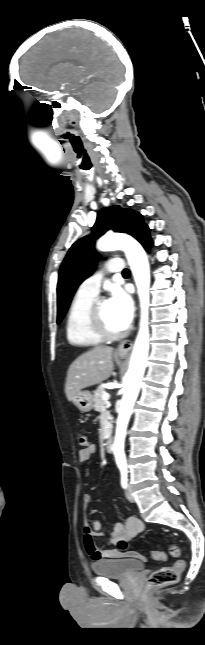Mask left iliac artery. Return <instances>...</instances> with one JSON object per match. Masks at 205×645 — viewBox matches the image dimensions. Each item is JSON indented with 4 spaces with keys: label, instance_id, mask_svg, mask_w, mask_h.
Here are the masks:
<instances>
[{
    "label": "left iliac artery",
    "instance_id": "left-iliac-artery-1",
    "mask_svg": "<svg viewBox=\"0 0 205 645\" xmlns=\"http://www.w3.org/2000/svg\"><path fill=\"white\" fill-rule=\"evenodd\" d=\"M120 471H121V485L123 488L127 487V466L125 464H122L119 466Z\"/></svg>",
    "mask_w": 205,
    "mask_h": 645
}]
</instances>
